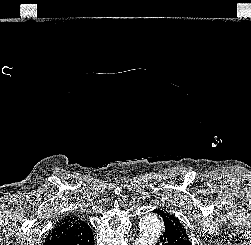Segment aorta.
Here are the masks:
<instances>
[{"mask_svg":"<svg viewBox=\"0 0 251 245\" xmlns=\"http://www.w3.org/2000/svg\"><path fill=\"white\" fill-rule=\"evenodd\" d=\"M163 222L156 215H145L140 219V236L134 245H156L163 230Z\"/></svg>","mask_w":251,"mask_h":245,"instance_id":"762f6f07","label":"aorta"}]
</instances>
